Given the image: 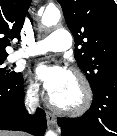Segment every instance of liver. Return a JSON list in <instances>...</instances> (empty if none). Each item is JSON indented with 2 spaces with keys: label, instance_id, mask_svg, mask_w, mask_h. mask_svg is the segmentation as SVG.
Returning <instances> with one entry per match:
<instances>
[{
  "label": "liver",
  "instance_id": "6515ba94",
  "mask_svg": "<svg viewBox=\"0 0 117 136\" xmlns=\"http://www.w3.org/2000/svg\"><path fill=\"white\" fill-rule=\"evenodd\" d=\"M0 136H24V134H22V133H9V132L0 131Z\"/></svg>",
  "mask_w": 117,
  "mask_h": 136
}]
</instances>
